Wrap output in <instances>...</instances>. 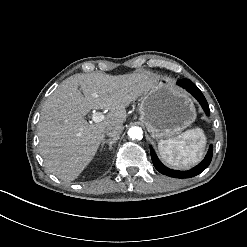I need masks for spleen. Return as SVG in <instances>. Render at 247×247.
Segmentation results:
<instances>
[{"mask_svg": "<svg viewBox=\"0 0 247 247\" xmlns=\"http://www.w3.org/2000/svg\"><path fill=\"white\" fill-rule=\"evenodd\" d=\"M207 135L202 128L186 131L176 139L161 140L158 142L160 158L169 165L181 170H188L198 165L204 155L207 145ZM176 145V152L168 150V147Z\"/></svg>", "mask_w": 247, "mask_h": 247, "instance_id": "3e777b00", "label": "spleen"}]
</instances>
